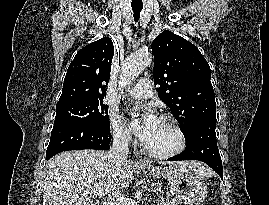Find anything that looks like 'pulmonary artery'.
Returning a JSON list of instances; mask_svg holds the SVG:
<instances>
[{
    "label": "pulmonary artery",
    "mask_w": 269,
    "mask_h": 205,
    "mask_svg": "<svg viewBox=\"0 0 269 205\" xmlns=\"http://www.w3.org/2000/svg\"><path fill=\"white\" fill-rule=\"evenodd\" d=\"M152 94V83L149 79L140 80L130 91V95L136 99H148Z\"/></svg>",
    "instance_id": "e3ab8cb5"
}]
</instances>
